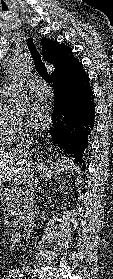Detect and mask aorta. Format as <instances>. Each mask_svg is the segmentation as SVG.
Returning <instances> with one entry per match:
<instances>
[{"label":"aorta","instance_id":"762f6f07","mask_svg":"<svg viewBox=\"0 0 113 279\" xmlns=\"http://www.w3.org/2000/svg\"><path fill=\"white\" fill-rule=\"evenodd\" d=\"M21 65V61L20 59L19 60H16L15 63L12 64V66L10 67L11 70H15L17 69V67H19ZM23 107H24V100L20 97V96H17V97H13L9 100V103H8V109L11 113H14V114H19L22 112L23 110ZM44 167V166H43Z\"/></svg>","mask_w":113,"mask_h":279}]
</instances>
